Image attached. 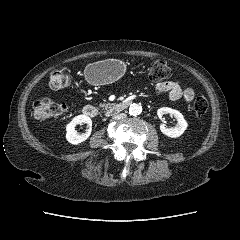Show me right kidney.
<instances>
[{"label": "right kidney", "instance_id": "right-kidney-1", "mask_svg": "<svg viewBox=\"0 0 240 240\" xmlns=\"http://www.w3.org/2000/svg\"><path fill=\"white\" fill-rule=\"evenodd\" d=\"M78 124H87L89 129L83 134H77L75 130L76 125ZM92 120L87 115H78L72 119L70 123L66 126V139L69 143L73 145L80 144L86 141L91 134Z\"/></svg>", "mask_w": 240, "mask_h": 240}]
</instances>
